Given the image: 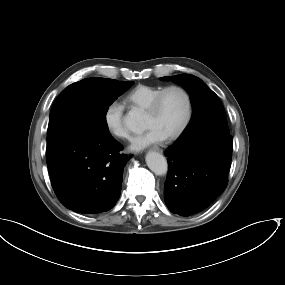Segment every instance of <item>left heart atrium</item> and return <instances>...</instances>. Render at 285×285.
Listing matches in <instances>:
<instances>
[{
	"label": "left heart atrium",
	"mask_w": 285,
	"mask_h": 285,
	"mask_svg": "<svg viewBox=\"0 0 285 285\" xmlns=\"http://www.w3.org/2000/svg\"><path fill=\"white\" fill-rule=\"evenodd\" d=\"M165 138L163 134H161L158 130L154 128H150L143 135L137 136L133 139L130 148L132 150H142L145 147L162 141Z\"/></svg>",
	"instance_id": "obj_1"
}]
</instances>
